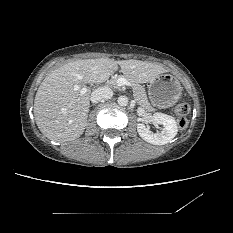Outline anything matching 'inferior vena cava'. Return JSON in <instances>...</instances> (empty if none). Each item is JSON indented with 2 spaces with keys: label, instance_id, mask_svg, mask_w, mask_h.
<instances>
[{
  "label": "inferior vena cava",
  "instance_id": "inferior-vena-cava-1",
  "mask_svg": "<svg viewBox=\"0 0 233 233\" xmlns=\"http://www.w3.org/2000/svg\"><path fill=\"white\" fill-rule=\"evenodd\" d=\"M113 91L108 87H99L91 93L90 100L92 103H98L101 100H108L112 98Z\"/></svg>",
  "mask_w": 233,
  "mask_h": 233
}]
</instances>
